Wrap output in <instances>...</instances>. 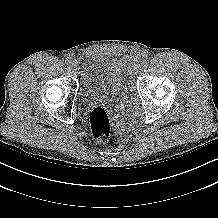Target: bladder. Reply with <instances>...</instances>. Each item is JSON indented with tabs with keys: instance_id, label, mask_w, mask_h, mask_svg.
Segmentation results:
<instances>
[{
	"instance_id": "obj_1",
	"label": "bladder",
	"mask_w": 218,
	"mask_h": 218,
	"mask_svg": "<svg viewBox=\"0 0 218 218\" xmlns=\"http://www.w3.org/2000/svg\"><path fill=\"white\" fill-rule=\"evenodd\" d=\"M80 96L84 102L120 94L131 82L133 60L85 52L78 60Z\"/></svg>"
}]
</instances>
